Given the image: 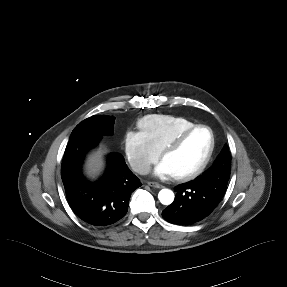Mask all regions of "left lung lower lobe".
<instances>
[{"label": "left lung lower lobe", "mask_w": 287, "mask_h": 287, "mask_svg": "<svg viewBox=\"0 0 287 287\" xmlns=\"http://www.w3.org/2000/svg\"><path fill=\"white\" fill-rule=\"evenodd\" d=\"M215 169L210 180H198L175 187L174 202L163 210L162 216L170 223L189 225L207 217L221 201L229 177Z\"/></svg>", "instance_id": "left-lung-lower-lobe-1"}]
</instances>
